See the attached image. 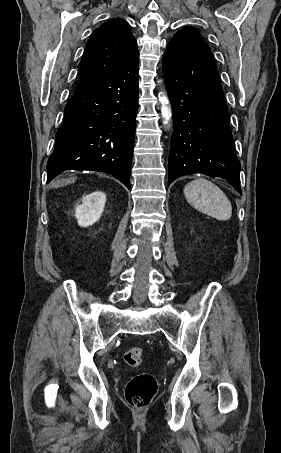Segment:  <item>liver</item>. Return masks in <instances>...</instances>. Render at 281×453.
Here are the masks:
<instances>
[{
  "label": "liver",
  "instance_id": "obj_1",
  "mask_svg": "<svg viewBox=\"0 0 281 453\" xmlns=\"http://www.w3.org/2000/svg\"><path fill=\"white\" fill-rule=\"evenodd\" d=\"M77 176H70V178H61V180H55L52 182L51 188H59V186H65V184H71V182H75Z\"/></svg>",
  "mask_w": 281,
  "mask_h": 453
}]
</instances>
